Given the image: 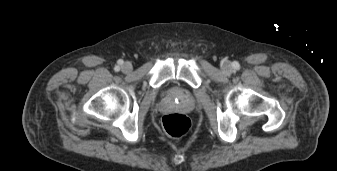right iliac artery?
Masks as SVG:
<instances>
[{
  "instance_id": "1",
  "label": "right iliac artery",
  "mask_w": 337,
  "mask_h": 171,
  "mask_svg": "<svg viewBox=\"0 0 337 171\" xmlns=\"http://www.w3.org/2000/svg\"><path fill=\"white\" fill-rule=\"evenodd\" d=\"M120 63L122 64L123 61H121ZM115 71H119V67L118 66L115 67Z\"/></svg>"
}]
</instances>
